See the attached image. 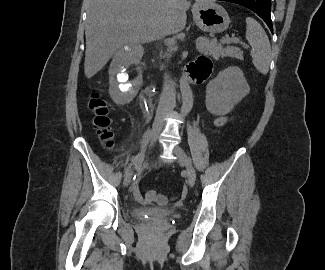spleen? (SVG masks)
Returning a JSON list of instances; mask_svg holds the SVG:
<instances>
[{
	"label": "spleen",
	"mask_w": 325,
	"mask_h": 270,
	"mask_svg": "<svg viewBox=\"0 0 325 270\" xmlns=\"http://www.w3.org/2000/svg\"><path fill=\"white\" fill-rule=\"evenodd\" d=\"M246 39L252 47L251 57L255 68L267 74L271 62V46L263 27L252 17L246 18Z\"/></svg>",
	"instance_id": "spleen-1"
}]
</instances>
